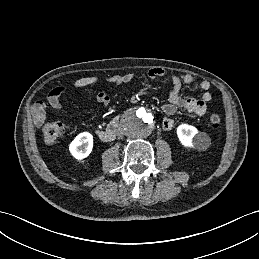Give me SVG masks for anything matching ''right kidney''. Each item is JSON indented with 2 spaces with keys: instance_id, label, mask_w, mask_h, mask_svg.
<instances>
[{
  "instance_id": "ca27d5eb",
  "label": "right kidney",
  "mask_w": 259,
  "mask_h": 259,
  "mask_svg": "<svg viewBox=\"0 0 259 259\" xmlns=\"http://www.w3.org/2000/svg\"><path fill=\"white\" fill-rule=\"evenodd\" d=\"M93 148V136L89 132L80 133L69 146L70 153L78 160L86 158Z\"/></svg>"
}]
</instances>
